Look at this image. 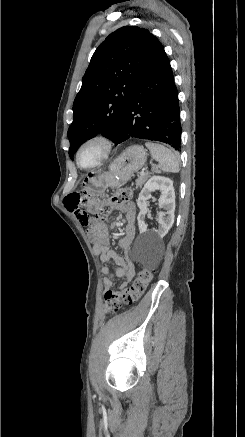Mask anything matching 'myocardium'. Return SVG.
Here are the masks:
<instances>
[{
  "mask_svg": "<svg viewBox=\"0 0 245 437\" xmlns=\"http://www.w3.org/2000/svg\"><path fill=\"white\" fill-rule=\"evenodd\" d=\"M91 144L100 145V147L102 149V153L95 163L88 165V166H84L80 162V154L86 146L91 145ZM113 148H114V143H113V140L109 136L102 134V133L92 135V136L86 138L78 146L76 153H75L76 163L81 169H84V170H90V169L97 168L109 159L110 155L112 154Z\"/></svg>",
  "mask_w": 245,
  "mask_h": 437,
  "instance_id": "1",
  "label": "myocardium"
}]
</instances>
